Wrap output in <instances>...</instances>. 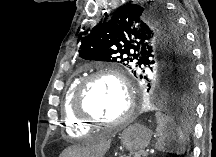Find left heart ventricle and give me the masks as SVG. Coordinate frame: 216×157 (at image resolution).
Segmentation results:
<instances>
[{
	"instance_id": "b2bd125f",
	"label": "left heart ventricle",
	"mask_w": 216,
	"mask_h": 157,
	"mask_svg": "<svg viewBox=\"0 0 216 157\" xmlns=\"http://www.w3.org/2000/svg\"><path fill=\"white\" fill-rule=\"evenodd\" d=\"M127 100L121 86L113 79H95L88 88L86 108L105 122L117 120L126 110Z\"/></svg>"
}]
</instances>
